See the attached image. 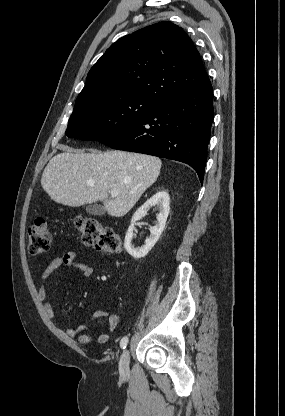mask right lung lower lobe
<instances>
[{"instance_id": "98d812e1", "label": "right lung lower lobe", "mask_w": 285, "mask_h": 416, "mask_svg": "<svg viewBox=\"0 0 285 416\" xmlns=\"http://www.w3.org/2000/svg\"><path fill=\"white\" fill-rule=\"evenodd\" d=\"M213 116L210 83L158 105L133 125L99 142L118 150L184 162L197 172L202 183Z\"/></svg>"}]
</instances>
